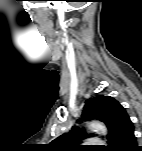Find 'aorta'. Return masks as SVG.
Returning a JSON list of instances; mask_svg holds the SVG:
<instances>
[{"label": "aorta", "mask_w": 142, "mask_h": 151, "mask_svg": "<svg viewBox=\"0 0 142 151\" xmlns=\"http://www.w3.org/2000/svg\"><path fill=\"white\" fill-rule=\"evenodd\" d=\"M88 128L95 131V132H98L102 135H106L107 134V128L106 126L99 122V121H92L88 124Z\"/></svg>", "instance_id": "obj_1"}]
</instances>
